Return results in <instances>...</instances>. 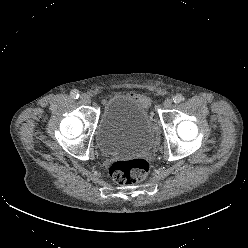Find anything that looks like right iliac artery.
Segmentation results:
<instances>
[{
    "label": "right iliac artery",
    "instance_id": "right-iliac-artery-1",
    "mask_svg": "<svg viewBox=\"0 0 248 248\" xmlns=\"http://www.w3.org/2000/svg\"><path fill=\"white\" fill-rule=\"evenodd\" d=\"M80 96L79 91L78 90H72L71 92V97L74 99H77Z\"/></svg>",
    "mask_w": 248,
    "mask_h": 248
}]
</instances>
